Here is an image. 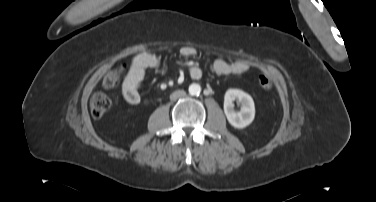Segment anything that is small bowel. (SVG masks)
<instances>
[{
  "label": "small bowel",
  "mask_w": 376,
  "mask_h": 202,
  "mask_svg": "<svg viewBox=\"0 0 376 202\" xmlns=\"http://www.w3.org/2000/svg\"><path fill=\"white\" fill-rule=\"evenodd\" d=\"M197 54L196 48L192 46H183L180 49V55L184 58H191ZM161 67V61L158 56L148 52L137 54L131 62L129 70L123 80L121 91L124 100L136 105L141 101L139 92L140 84L145 76L147 69H158ZM249 66L244 61L227 62L217 59L210 65V70L218 75H239L246 72ZM188 73L192 79H201L203 71L195 66L188 67Z\"/></svg>",
  "instance_id": "obj_1"
}]
</instances>
